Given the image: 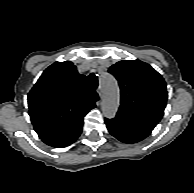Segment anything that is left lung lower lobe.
Segmentation results:
<instances>
[{
	"label": "left lung lower lobe",
	"instance_id": "1",
	"mask_svg": "<svg viewBox=\"0 0 194 193\" xmlns=\"http://www.w3.org/2000/svg\"><path fill=\"white\" fill-rule=\"evenodd\" d=\"M108 131L118 140L124 143H136L146 138L153 126L139 121L116 115L113 119H105Z\"/></svg>",
	"mask_w": 194,
	"mask_h": 193
}]
</instances>
